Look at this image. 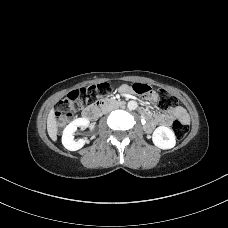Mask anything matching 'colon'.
I'll list each match as a JSON object with an SVG mask.
<instances>
[{
	"mask_svg": "<svg viewBox=\"0 0 228 228\" xmlns=\"http://www.w3.org/2000/svg\"><path fill=\"white\" fill-rule=\"evenodd\" d=\"M109 89L108 83H100L87 88H81L71 91L65 99L57 106L54 116L58 125H66L73 116V111L83 105L92 103L98 95L104 94ZM136 94L150 96L153 93L152 88L144 83H135L132 86ZM176 104V98L165 90L158 92V106L167 110L173 108ZM173 132L177 139L182 140L187 136L188 126L182 121L176 120L173 125Z\"/></svg>",
	"mask_w": 228,
	"mask_h": 228,
	"instance_id": "5ec220e1",
	"label": "colon"
}]
</instances>
